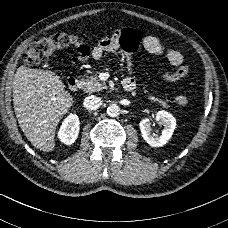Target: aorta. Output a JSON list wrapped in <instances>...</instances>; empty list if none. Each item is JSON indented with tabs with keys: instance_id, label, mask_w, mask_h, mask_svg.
<instances>
[{
	"instance_id": "obj_1",
	"label": "aorta",
	"mask_w": 228,
	"mask_h": 228,
	"mask_svg": "<svg viewBox=\"0 0 228 228\" xmlns=\"http://www.w3.org/2000/svg\"><path fill=\"white\" fill-rule=\"evenodd\" d=\"M107 114L110 117H117L122 114L121 108L117 104H113L107 108Z\"/></svg>"
}]
</instances>
